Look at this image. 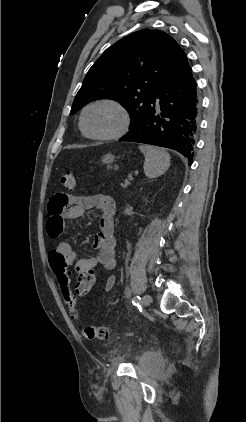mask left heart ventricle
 Listing matches in <instances>:
<instances>
[{
    "mask_svg": "<svg viewBox=\"0 0 246 422\" xmlns=\"http://www.w3.org/2000/svg\"><path fill=\"white\" fill-rule=\"evenodd\" d=\"M121 122L119 112L109 105H98L89 109L85 115L86 129L96 135L115 131Z\"/></svg>",
    "mask_w": 246,
    "mask_h": 422,
    "instance_id": "1",
    "label": "left heart ventricle"
}]
</instances>
